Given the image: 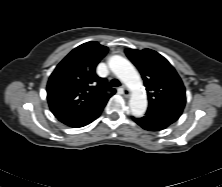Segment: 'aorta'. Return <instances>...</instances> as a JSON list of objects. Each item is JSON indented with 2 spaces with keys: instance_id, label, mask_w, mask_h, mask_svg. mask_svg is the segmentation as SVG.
<instances>
[{
  "instance_id": "obj_1",
  "label": "aorta",
  "mask_w": 222,
  "mask_h": 187,
  "mask_svg": "<svg viewBox=\"0 0 222 187\" xmlns=\"http://www.w3.org/2000/svg\"><path fill=\"white\" fill-rule=\"evenodd\" d=\"M108 65L111 71L131 91V98L129 100L131 114L135 117H141L147 109L148 102L140 75L134 66L120 55L111 56Z\"/></svg>"
}]
</instances>
